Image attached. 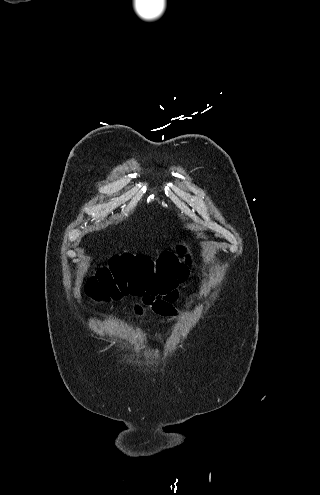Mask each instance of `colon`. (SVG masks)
I'll return each mask as SVG.
<instances>
[{"instance_id": "obj_1", "label": "colon", "mask_w": 320, "mask_h": 495, "mask_svg": "<svg viewBox=\"0 0 320 495\" xmlns=\"http://www.w3.org/2000/svg\"><path fill=\"white\" fill-rule=\"evenodd\" d=\"M189 259L187 243L162 252L156 260L141 254L117 255L89 278L86 293L97 302L118 300L126 293H165L182 280Z\"/></svg>"}]
</instances>
